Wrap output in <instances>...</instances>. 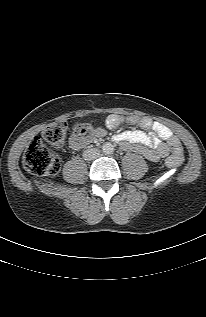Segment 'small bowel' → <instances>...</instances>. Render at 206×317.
<instances>
[{"label": "small bowel", "instance_id": "c3829d8e", "mask_svg": "<svg viewBox=\"0 0 206 317\" xmlns=\"http://www.w3.org/2000/svg\"><path fill=\"white\" fill-rule=\"evenodd\" d=\"M121 123L138 125L142 130H129L118 133L114 141L119 143L123 149L131 150L141 154L146 159L157 162L166 157L170 151V141L174 138L172 131L165 125L153 121L148 117L110 115L106 119V127L117 128ZM98 135H103L104 130L99 129ZM88 140L77 142L71 139V147L80 149Z\"/></svg>", "mask_w": 206, "mask_h": 317}]
</instances>
